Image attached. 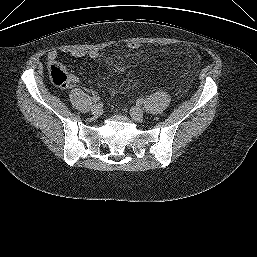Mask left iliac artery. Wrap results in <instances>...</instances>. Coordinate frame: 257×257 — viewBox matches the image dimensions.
<instances>
[{
    "label": "left iliac artery",
    "mask_w": 257,
    "mask_h": 257,
    "mask_svg": "<svg viewBox=\"0 0 257 257\" xmlns=\"http://www.w3.org/2000/svg\"><path fill=\"white\" fill-rule=\"evenodd\" d=\"M142 103H143V99L142 98L137 99V105H142Z\"/></svg>",
    "instance_id": "obj_1"
}]
</instances>
